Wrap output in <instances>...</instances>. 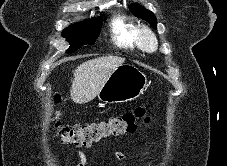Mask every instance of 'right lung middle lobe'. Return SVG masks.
I'll return each mask as SVG.
<instances>
[{
	"mask_svg": "<svg viewBox=\"0 0 227 166\" xmlns=\"http://www.w3.org/2000/svg\"><path fill=\"white\" fill-rule=\"evenodd\" d=\"M101 18L86 20L74 24L63 31V36L70 42L67 52L76 50L83 45L93 44L97 39L101 27Z\"/></svg>",
	"mask_w": 227,
	"mask_h": 166,
	"instance_id": "dd1d6c3e",
	"label": "right lung middle lobe"
}]
</instances>
